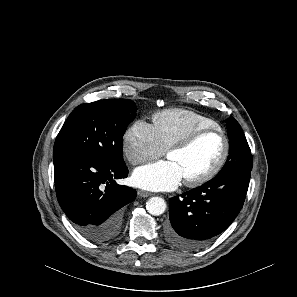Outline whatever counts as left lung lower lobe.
<instances>
[{"instance_id":"1","label":"left lung lower lobe","mask_w":297,"mask_h":297,"mask_svg":"<svg viewBox=\"0 0 297 297\" xmlns=\"http://www.w3.org/2000/svg\"><path fill=\"white\" fill-rule=\"evenodd\" d=\"M250 176L217 175L180 198H171L167 242L181 250H197L226 230L242 209Z\"/></svg>"}]
</instances>
